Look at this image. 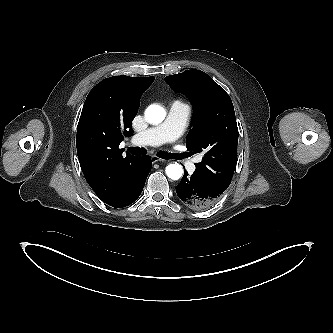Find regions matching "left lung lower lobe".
I'll use <instances>...</instances> for the list:
<instances>
[{"label": "left lung lower lobe", "instance_id": "0a47b994", "mask_svg": "<svg viewBox=\"0 0 333 333\" xmlns=\"http://www.w3.org/2000/svg\"><path fill=\"white\" fill-rule=\"evenodd\" d=\"M223 192L224 190L195 172L190 176L185 171L181 182L176 186V193L181 201L195 210L212 207Z\"/></svg>", "mask_w": 333, "mask_h": 333}]
</instances>
